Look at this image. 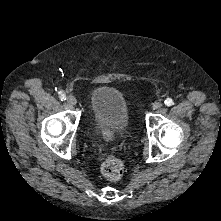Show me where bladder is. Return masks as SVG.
Instances as JSON below:
<instances>
[{"label":"bladder","mask_w":221,"mask_h":221,"mask_svg":"<svg viewBox=\"0 0 221 221\" xmlns=\"http://www.w3.org/2000/svg\"><path fill=\"white\" fill-rule=\"evenodd\" d=\"M93 130L99 134L103 129L121 132L129 126V110L123 94L111 87L96 88L89 102Z\"/></svg>","instance_id":"31cf9c89"}]
</instances>
